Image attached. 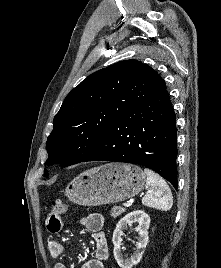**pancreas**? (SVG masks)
<instances>
[{
	"label": "pancreas",
	"mask_w": 221,
	"mask_h": 268,
	"mask_svg": "<svg viewBox=\"0 0 221 268\" xmlns=\"http://www.w3.org/2000/svg\"><path fill=\"white\" fill-rule=\"evenodd\" d=\"M125 212V208H122L120 206H114L111 210V216L113 218H116L118 216H120L122 213Z\"/></svg>",
	"instance_id": "1"
}]
</instances>
